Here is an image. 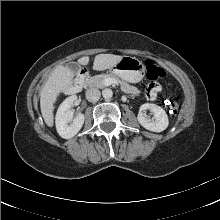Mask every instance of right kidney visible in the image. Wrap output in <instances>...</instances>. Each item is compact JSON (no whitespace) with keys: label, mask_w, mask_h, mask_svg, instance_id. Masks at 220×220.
I'll return each instance as SVG.
<instances>
[{"label":"right kidney","mask_w":220,"mask_h":220,"mask_svg":"<svg viewBox=\"0 0 220 220\" xmlns=\"http://www.w3.org/2000/svg\"><path fill=\"white\" fill-rule=\"evenodd\" d=\"M77 96L73 95L66 98L59 106L56 114V129L58 134L64 139H71L82 128L84 124V114H78L73 119V111L71 107ZM72 122L70 125L68 123Z\"/></svg>","instance_id":"ca27d5eb"}]
</instances>
